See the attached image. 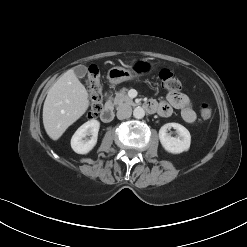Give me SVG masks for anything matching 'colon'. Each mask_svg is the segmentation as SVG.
<instances>
[{
  "label": "colon",
  "instance_id": "5ec220e1",
  "mask_svg": "<svg viewBox=\"0 0 247 247\" xmlns=\"http://www.w3.org/2000/svg\"><path fill=\"white\" fill-rule=\"evenodd\" d=\"M160 85L170 92H178L182 89V82L177 75L169 69H162L158 75ZM87 86L90 95L89 116L95 117L102 108L103 95L100 84L99 71L92 66L87 76ZM200 115L204 120H208L212 116V110L207 104L200 107Z\"/></svg>",
  "mask_w": 247,
  "mask_h": 247
}]
</instances>
